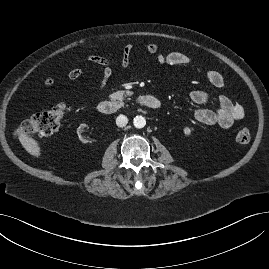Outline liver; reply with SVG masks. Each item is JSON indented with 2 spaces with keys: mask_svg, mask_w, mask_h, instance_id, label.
<instances>
[{
  "mask_svg": "<svg viewBox=\"0 0 269 269\" xmlns=\"http://www.w3.org/2000/svg\"><path fill=\"white\" fill-rule=\"evenodd\" d=\"M16 133L21 145L30 155L37 158L41 156V148L38 141L24 132L23 127H18Z\"/></svg>",
  "mask_w": 269,
  "mask_h": 269,
  "instance_id": "obj_1",
  "label": "liver"
}]
</instances>
